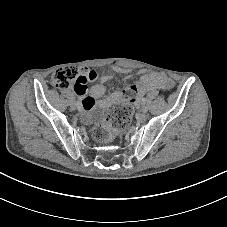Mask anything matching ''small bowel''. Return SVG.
I'll use <instances>...</instances> for the list:
<instances>
[{"instance_id": "small-bowel-1", "label": "small bowel", "mask_w": 227, "mask_h": 227, "mask_svg": "<svg viewBox=\"0 0 227 227\" xmlns=\"http://www.w3.org/2000/svg\"><path fill=\"white\" fill-rule=\"evenodd\" d=\"M111 70L117 73H129L130 70L119 66H112ZM81 79L73 86L74 91L81 99L82 120L88 122L89 114L97 107H109L116 103L120 98V93H114L105 100H99L106 91L105 82L111 79L110 75H105L101 78L102 83L96 84L90 88L87 87L89 81H94L97 78V73L93 70H83L80 73ZM174 86L171 78L163 74H145L142 77V83L139 89L138 97L146 92L154 90H170Z\"/></svg>"}]
</instances>
